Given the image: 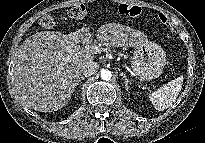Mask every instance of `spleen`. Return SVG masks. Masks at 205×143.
<instances>
[{
    "label": "spleen",
    "mask_w": 205,
    "mask_h": 143,
    "mask_svg": "<svg viewBox=\"0 0 205 143\" xmlns=\"http://www.w3.org/2000/svg\"><path fill=\"white\" fill-rule=\"evenodd\" d=\"M183 84V76L168 82L149 95V100L154 108L158 111H163L175 102Z\"/></svg>",
    "instance_id": "obj_1"
}]
</instances>
